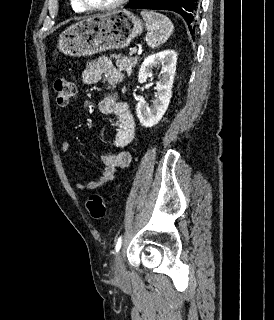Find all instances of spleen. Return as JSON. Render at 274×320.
I'll return each instance as SVG.
<instances>
[{"label": "spleen", "mask_w": 274, "mask_h": 320, "mask_svg": "<svg viewBox=\"0 0 274 320\" xmlns=\"http://www.w3.org/2000/svg\"><path fill=\"white\" fill-rule=\"evenodd\" d=\"M141 16L146 22V28L148 30V46L150 48H155V46H160L164 44L167 38L171 36L174 26L166 16L163 14H157V12H149V10H143Z\"/></svg>", "instance_id": "3e777b00"}]
</instances>
